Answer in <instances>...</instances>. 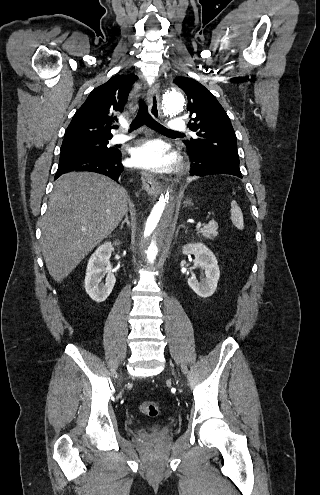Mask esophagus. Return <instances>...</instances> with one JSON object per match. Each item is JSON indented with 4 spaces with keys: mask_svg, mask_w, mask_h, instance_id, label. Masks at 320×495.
Instances as JSON below:
<instances>
[{
    "mask_svg": "<svg viewBox=\"0 0 320 495\" xmlns=\"http://www.w3.org/2000/svg\"><path fill=\"white\" fill-rule=\"evenodd\" d=\"M149 99V112L154 118H158L160 115V104H159V83L153 84L148 94ZM142 186L145 191L153 196L159 194L161 190V185L157 182L150 174L146 172H141Z\"/></svg>",
    "mask_w": 320,
    "mask_h": 495,
    "instance_id": "obj_1",
    "label": "esophagus"
}]
</instances>
